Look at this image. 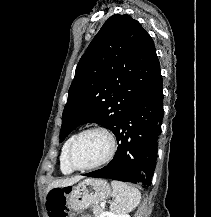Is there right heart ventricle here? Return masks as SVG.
Segmentation results:
<instances>
[{
	"mask_svg": "<svg viewBox=\"0 0 211 217\" xmlns=\"http://www.w3.org/2000/svg\"><path fill=\"white\" fill-rule=\"evenodd\" d=\"M77 134L74 133L72 135H70L64 142L62 148H61V153H60V170L63 174H71L73 173L74 169L70 167V165L68 164V160H67V152H68V148L72 142V140L74 139V137Z\"/></svg>",
	"mask_w": 211,
	"mask_h": 217,
	"instance_id": "obj_1",
	"label": "right heart ventricle"
}]
</instances>
